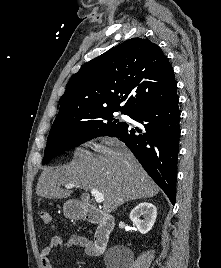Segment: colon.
Returning a JSON list of instances; mask_svg holds the SVG:
<instances>
[{
    "label": "colon",
    "mask_w": 221,
    "mask_h": 268,
    "mask_svg": "<svg viewBox=\"0 0 221 268\" xmlns=\"http://www.w3.org/2000/svg\"><path fill=\"white\" fill-rule=\"evenodd\" d=\"M39 217H40V219L42 220V222H43L45 225H47L48 227H50V228H52V229L55 227L54 221H53V219H52V217H51V215L49 214L48 211H46V210H41V211L39 212Z\"/></svg>",
    "instance_id": "colon-1"
}]
</instances>
